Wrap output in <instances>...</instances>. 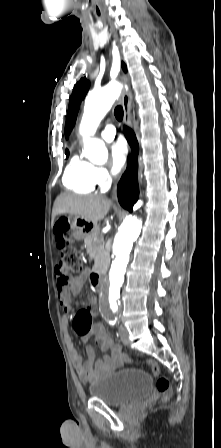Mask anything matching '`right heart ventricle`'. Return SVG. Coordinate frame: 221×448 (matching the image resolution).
I'll return each mask as SVG.
<instances>
[{"mask_svg":"<svg viewBox=\"0 0 221 448\" xmlns=\"http://www.w3.org/2000/svg\"><path fill=\"white\" fill-rule=\"evenodd\" d=\"M94 166L78 156L68 164L64 176V185L76 193H93L97 189L94 178Z\"/></svg>","mask_w":221,"mask_h":448,"instance_id":"right-heart-ventricle-1","label":"right heart ventricle"}]
</instances>
